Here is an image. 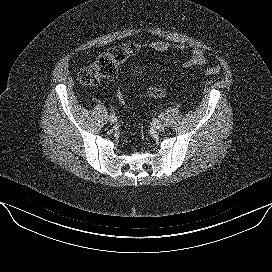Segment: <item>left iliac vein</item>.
Listing matches in <instances>:
<instances>
[{"label": "left iliac vein", "instance_id": "obj_1", "mask_svg": "<svg viewBox=\"0 0 272 272\" xmlns=\"http://www.w3.org/2000/svg\"><path fill=\"white\" fill-rule=\"evenodd\" d=\"M153 127L157 131H163L165 129V124H163L159 121H156V122H154Z\"/></svg>", "mask_w": 272, "mask_h": 272}]
</instances>
